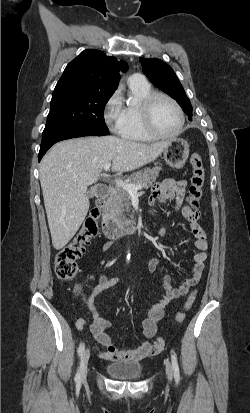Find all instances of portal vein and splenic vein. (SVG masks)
I'll list each match as a JSON object with an SVG mask.
<instances>
[{"mask_svg": "<svg viewBox=\"0 0 250 413\" xmlns=\"http://www.w3.org/2000/svg\"><path fill=\"white\" fill-rule=\"evenodd\" d=\"M111 167V163H107L104 166V170L108 171ZM117 185L122 186L125 190H127L130 194H137L138 190H141L143 188L142 185H133L128 182H124L123 180L116 179L115 180Z\"/></svg>", "mask_w": 250, "mask_h": 413, "instance_id": "obj_1", "label": "portal vein and splenic vein"}]
</instances>
